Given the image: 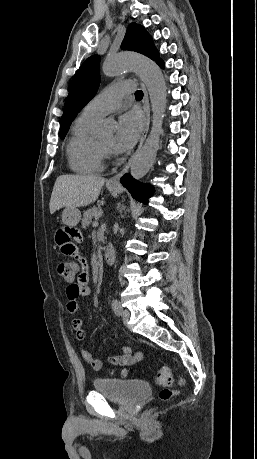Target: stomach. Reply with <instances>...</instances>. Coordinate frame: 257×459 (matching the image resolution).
Here are the masks:
<instances>
[{"label": "stomach", "instance_id": "obj_1", "mask_svg": "<svg viewBox=\"0 0 257 459\" xmlns=\"http://www.w3.org/2000/svg\"><path fill=\"white\" fill-rule=\"evenodd\" d=\"M108 190L113 194L117 195L118 189L116 187H108ZM81 218V212L78 208L66 207L62 212L63 223H71L72 226H76Z\"/></svg>", "mask_w": 257, "mask_h": 459}]
</instances>
